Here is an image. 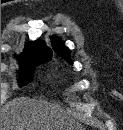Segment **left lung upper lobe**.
<instances>
[{"label":"left lung upper lobe","instance_id":"5c2ea615","mask_svg":"<svg viewBox=\"0 0 123 130\" xmlns=\"http://www.w3.org/2000/svg\"><path fill=\"white\" fill-rule=\"evenodd\" d=\"M52 42H53L55 51L64 59H66L67 62L72 64L69 49L65 47L55 36L52 37Z\"/></svg>","mask_w":123,"mask_h":130}]
</instances>
